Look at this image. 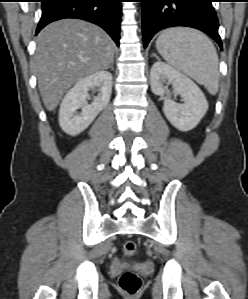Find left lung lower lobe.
Returning a JSON list of instances; mask_svg holds the SVG:
<instances>
[{
	"mask_svg": "<svg viewBox=\"0 0 248 299\" xmlns=\"http://www.w3.org/2000/svg\"><path fill=\"white\" fill-rule=\"evenodd\" d=\"M142 2L144 47L158 31L174 26L199 29L222 48L213 0H139Z\"/></svg>",
	"mask_w": 248,
	"mask_h": 299,
	"instance_id": "obj_1",
	"label": "left lung lower lobe"
}]
</instances>
